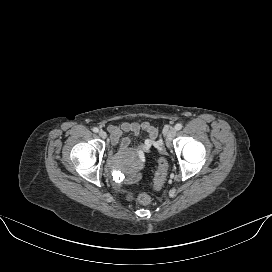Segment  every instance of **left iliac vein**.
I'll return each instance as SVG.
<instances>
[{"instance_id":"left-iliac-vein-1","label":"left iliac vein","mask_w":272,"mask_h":272,"mask_svg":"<svg viewBox=\"0 0 272 272\" xmlns=\"http://www.w3.org/2000/svg\"><path fill=\"white\" fill-rule=\"evenodd\" d=\"M175 135H176V129L170 128L167 132V143H170Z\"/></svg>"}]
</instances>
